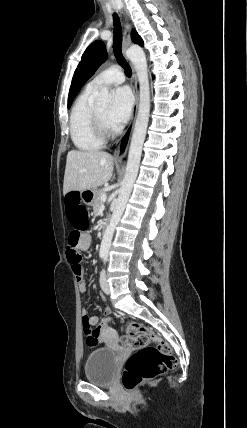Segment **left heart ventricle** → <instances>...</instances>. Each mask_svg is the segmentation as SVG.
<instances>
[{
  "label": "left heart ventricle",
  "mask_w": 247,
  "mask_h": 428,
  "mask_svg": "<svg viewBox=\"0 0 247 428\" xmlns=\"http://www.w3.org/2000/svg\"><path fill=\"white\" fill-rule=\"evenodd\" d=\"M96 110H97V112H98V114H99L102 122L106 126H108L107 122H106V114H107V111H108V107L107 106H99V107L96 108Z\"/></svg>",
  "instance_id": "left-heart-ventricle-1"
}]
</instances>
